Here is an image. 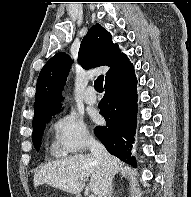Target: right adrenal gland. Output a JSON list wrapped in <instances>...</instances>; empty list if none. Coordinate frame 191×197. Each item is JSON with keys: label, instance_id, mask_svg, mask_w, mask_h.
Listing matches in <instances>:
<instances>
[{"label": "right adrenal gland", "instance_id": "right-adrenal-gland-1", "mask_svg": "<svg viewBox=\"0 0 191 197\" xmlns=\"http://www.w3.org/2000/svg\"><path fill=\"white\" fill-rule=\"evenodd\" d=\"M112 193H113V188H111V191H110L109 197H111V196H112Z\"/></svg>", "mask_w": 191, "mask_h": 197}]
</instances>
